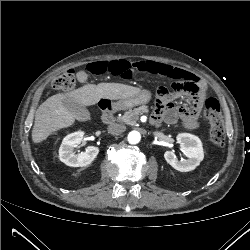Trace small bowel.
Listing matches in <instances>:
<instances>
[{"label":"small bowel","instance_id":"c3829d8e","mask_svg":"<svg viewBox=\"0 0 250 250\" xmlns=\"http://www.w3.org/2000/svg\"><path fill=\"white\" fill-rule=\"evenodd\" d=\"M135 65L150 73L177 80V83H182L181 87L178 89L176 88L177 84L175 82L174 90L177 93L195 96L190 101L175 105L171 99L170 91L164 87L161 88L159 90L160 96L154 111L155 120L163 119L168 123H175L181 120L186 128L192 130L200 127L199 115L204 106L207 91L206 84L203 80L182 68L161 62L142 60ZM77 78L83 83L87 80V74L84 71H79L77 73Z\"/></svg>","mask_w":250,"mask_h":250}]
</instances>
